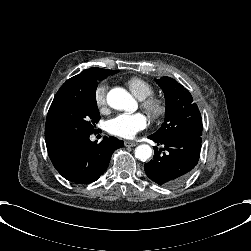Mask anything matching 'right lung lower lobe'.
Instances as JSON below:
<instances>
[{
  "label": "right lung lower lobe",
  "mask_w": 251,
  "mask_h": 251,
  "mask_svg": "<svg viewBox=\"0 0 251 251\" xmlns=\"http://www.w3.org/2000/svg\"><path fill=\"white\" fill-rule=\"evenodd\" d=\"M123 145L124 142L115 137H105L97 144L86 136L47 150L54 167L65 179L77 184H89L103 175L113 152Z\"/></svg>",
  "instance_id": "right-lung-lower-lobe-1"
}]
</instances>
